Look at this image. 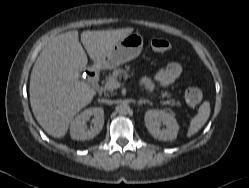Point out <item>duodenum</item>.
I'll list each match as a JSON object with an SVG mask.
<instances>
[{"label": "duodenum", "instance_id": "1", "mask_svg": "<svg viewBox=\"0 0 249 188\" xmlns=\"http://www.w3.org/2000/svg\"><path fill=\"white\" fill-rule=\"evenodd\" d=\"M90 82L94 85L97 82V73L93 70L87 72Z\"/></svg>", "mask_w": 249, "mask_h": 188}]
</instances>
